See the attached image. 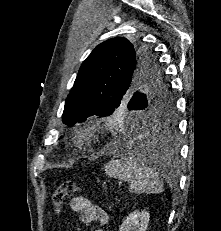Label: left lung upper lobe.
I'll use <instances>...</instances> for the list:
<instances>
[{"mask_svg": "<svg viewBox=\"0 0 221 231\" xmlns=\"http://www.w3.org/2000/svg\"><path fill=\"white\" fill-rule=\"evenodd\" d=\"M126 106L163 123L174 117L170 87L154 52L116 37L99 44L82 63L62 121L74 125L91 116H110Z\"/></svg>", "mask_w": 221, "mask_h": 231, "instance_id": "5c2ea615", "label": "left lung upper lobe"}]
</instances>
